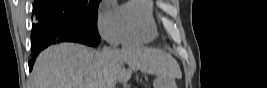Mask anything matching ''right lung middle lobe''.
Listing matches in <instances>:
<instances>
[{
    "label": "right lung middle lobe",
    "mask_w": 267,
    "mask_h": 88,
    "mask_svg": "<svg viewBox=\"0 0 267 88\" xmlns=\"http://www.w3.org/2000/svg\"><path fill=\"white\" fill-rule=\"evenodd\" d=\"M88 25H96L101 0H47ZM34 4H37L36 2Z\"/></svg>",
    "instance_id": "dd1d6c3e"
}]
</instances>
